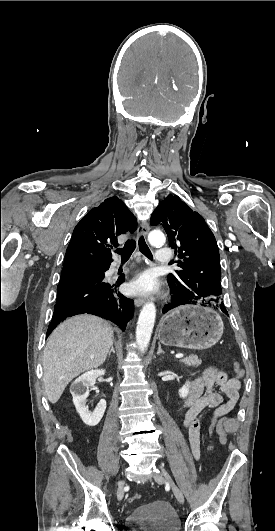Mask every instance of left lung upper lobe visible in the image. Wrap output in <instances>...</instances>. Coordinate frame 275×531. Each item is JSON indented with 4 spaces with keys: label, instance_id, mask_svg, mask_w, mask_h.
Returning a JSON list of instances; mask_svg holds the SVG:
<instances>
[{
    "label": "left lung upper lobe",
    "instance_id": "1",
    "mask_svg": "<svg viewBox=\"0 0 275 531\" xmlns=\"http://www.w3.org/2000/svg\"><path fill=\"white\" fill-rule=\"evenodd\" d=\"M150 223L163 225L169 246L179 253L181 270L168 275L173 303L220 307L224 312L219 250L204 218L178 196L168 195L152 213Z\"/></svg>",
    "mask_w": 275,
    "mask_h": 531
}]
</instances>
